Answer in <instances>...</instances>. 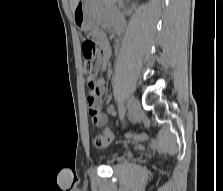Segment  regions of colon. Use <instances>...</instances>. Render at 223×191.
<instances>
[{"mask_svg": "<svg viewBox=\"0 0 223 191\" xmlns=\"http://www.w3.org/2000/svg\"><path fill=\"white\" fill-rule=\"evenodd\" d=\"M83 52V70L88 78V87L94 89L96 87L94 83V70L95 62L98 56V46L92 39H86L82 44ZM128 139L143 142L147 136L144 133H133L127 135ZM113 140V135L109 130H104L100 135H97L94 139V145L97 148H103L109 145Z\"/></svg>", "mask_w": 223, "mask_h": 191, "instance_id": "5ec220e1", "label": "colon"}]
</instances>
